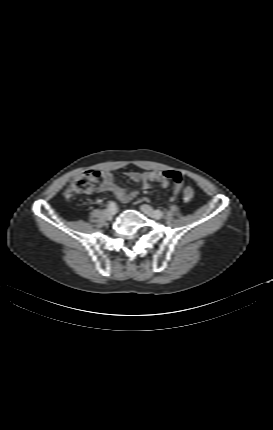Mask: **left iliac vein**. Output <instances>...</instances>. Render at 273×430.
<instances>
[{
  "label": "left iliac vein",
  "instance_id": "obj_1",
  "mask_svg": "<svg viewBox=\"0 0 273 430\" xmlns=\"http://www.w3.org/2000/svg\"><path fill=\"white\" fill-rule=\"evenodd\" d=\"M140 209H141V211H142L144 214H146L147 216H149V217H151V218H154V219H157V220H158V219H160V218L157 216L156 211H154V210L152 209V207H151V206L146 205V204H143V205H141Z\"/></svg>",
  "mask_w": 273,
  "mask_h": 430
}]
</instances>
